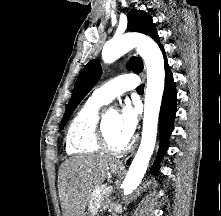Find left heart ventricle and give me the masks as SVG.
<instances>
[{
  "label": "left heart ventricle",
  "mask_w": 221,
  "mask_h": 216,
  "mask_svg": "<svg viewBox=\"0 0 221 216\" xmlns=\"http://www.w3.org/2000/svg\"><path fill=\"white\" fill-rule=\"evenodd\" d=\"M105 128L110 142L115 146H120L129 141L124 136L120 128L119 114L110 111L105 115Z\"/></svg>",
  "instance_id": "obj_1"
}]
</instances>
